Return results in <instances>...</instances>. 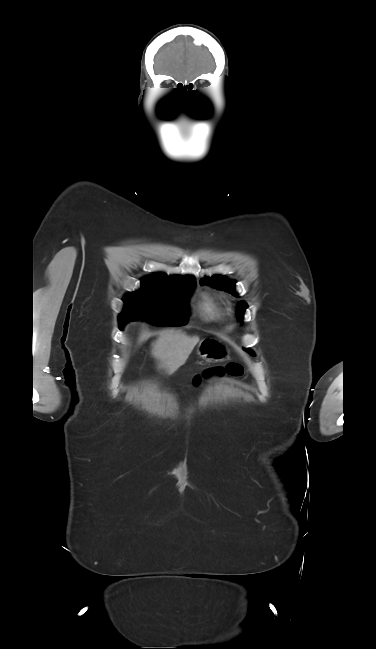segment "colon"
I'll list each match as a JSON object with an SVG mask.
<instances>
[{"label":"colon","instance_id":"5ec220e1","mask_svg":"<svg viewBox=\"0 0 376 649\" xmlns=\"http://www.w3.org/2000/svg\"><path fill=\"white\" fill-rule=\"evenodd\" d=\"M240 377L243 374V367L238 363H229L225 367H215L204 370L201 374L194 377L192 384L198 386L204 379L212 377H221L223 375Z\"/></svg>","mask_w":376,"mask_h":649}]
</instances>
